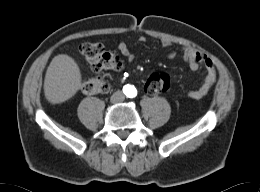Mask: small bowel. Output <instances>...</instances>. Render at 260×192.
Instances as JSON below:
<instances>
[{
  "label": "small bowel",
  "mask_w": 260,
  "mask_h": 192,
  "mask_svg": "<svg viewBox=\"0 0 260 192\" xmlns=\"http://www.w3.org/2000/svg\"><path fill=\"white\" fill-rule=\"evenodd\" d=\"M140 42H145V37L139 38ZM162 45L168 47L171 45V42L168 40H163ZM117 50L127 58L128 61H133L135 59L134 53L131 51L129 45L125 42H121L117 46ZM176 52L172 51L168 54L169 58H174ZM182 58L188 64L189 68L192 71H197L201 65L206 69V75L204 77L202 85L194 90L187 92V96L192 99H201L208 94L217 79V71L213 61L204 53L199 52L198 50L185 47L182 50Z\"/></svg>",
  "instance_id": "obj_1"
}]
</instances>
